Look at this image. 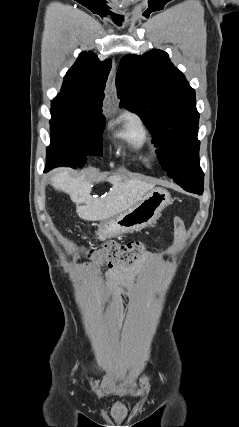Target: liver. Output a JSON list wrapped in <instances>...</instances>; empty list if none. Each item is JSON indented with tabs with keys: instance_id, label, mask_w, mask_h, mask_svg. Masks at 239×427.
Segmentation results:
<instances>
[{
	"instance_id": "liver-1",
	"label": "liver",
	"mask_w": 239,
	"mask_h": 427,
	"mask_svg": "<svg viewBox=\"0 0 239 427\" xmlns=\"http://www.w3.org/2000/svg\"><path fill=\"white\" fill-rule=\"evenodd\" d=\"M87 172L73 178L69 170H60L51 179V185L68 194L76 203L78 216L87 221H103L116 216L137 204L154 184L115 175L108 178L112 188L100 197L91 195L92 184L85 179Z\"/></svg>"
}]
</instances>
